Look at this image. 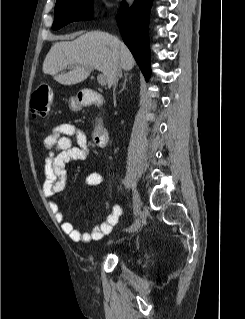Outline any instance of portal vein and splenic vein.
I'll list each match as a JSON object with an SVG mask.
<instances>
[{
    "mask_svg": "<svg viewBox=\"0 0 245 319\" xmlns=\"http://www.w3.org/2000/svg\"><path fill=\"white\" fill-rule=\"evenodd\" d=\"M94 69H96V68H88V70H90V71H92ZM97 80H98L100 85H102V86L106 85V77H105L104 74H102V73L98 74L97 75Z\"/></svg>",
    "mask_w": 245,
    "mask_h": 319,
    "instance_id": "obj_1",
    "label": "portal vein and splenic vein"
}]
</instances>
